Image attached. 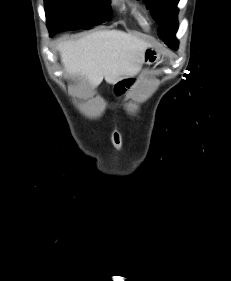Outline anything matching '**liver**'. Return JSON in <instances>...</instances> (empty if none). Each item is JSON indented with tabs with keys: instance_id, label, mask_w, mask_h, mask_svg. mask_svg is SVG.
Returning a JSON list of instances; mask_svg holds the SVG:
<instances>
[{
	"instance_id": "liver-1",
	"label": "liver",
	"mask_w": 231,
	"mask_h": 281,
	"mask_svg": "<svg viewBox=\"0 0 231 281\" xmlns=\"http://www.w3.org/2000/svg\"><path fill=\"white\" fill-rule=\"evenodd\" d=\"M149 44L123 31L91 33L75 41L58 44L65 70L87 79L96 88L103 79L114 84L135 75Z\"/></svg>"
}]
</instances>
